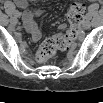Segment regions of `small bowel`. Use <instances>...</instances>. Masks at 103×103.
Wrapping results in <instances>:
<instances>
[{
  "mask_svg": "<svg viewBox=\"0 0 103 103\" xmlns=\"http://www.w3.org/2000/svg\"><path fill=\"white\" fill-rule=\"evenodd\" d=\"M5 5L9 6L10 3L6 2ZM16 5L24 10L22 12V21H23L25 29H26L27 33L29 34L30 38L34 42L39 41L41 38V32H40L34 19H35V17L42 15L45 11L44 10H36V11L30 10L28 8V3L24 0L17 1ZM93 6L95 7L97 5L94 4ZM60 27L64 28L65 25L62 24Z\"/></svg>",
  "mask_w": 103,
  "mask_h": 103,
  "instance_id": "1",
  "label": "small bowel"
}]
</instances>
